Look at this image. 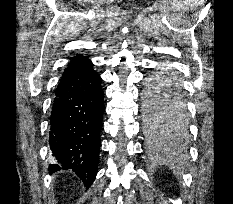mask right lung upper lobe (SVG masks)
Here are the masks:
<instances>
[{"label":"right lung upper lobe","mask_w":233,"mask_h":204,"mask_svg":"<svg viewBox=\"0 0 233 204\" xmlns=\"http://www.w3.org/2000/svg\"><path fill=\"white\" fill-rule=\"evenodd\" d=\"M75 62H90L89 60H87L85 57H83L82 55H76L75 57L72 58L71 62L68 64H72Z\"/></svg>","instance_id":"cb5924a9"}]
</instances>
